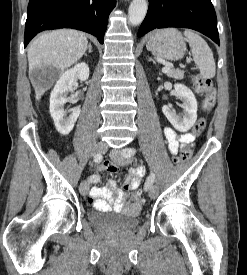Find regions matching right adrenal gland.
<instances>
[{
  "instance_id": "2a0ac1e0",
  "label": "right adrenal gland",
  "mask_w": 247,
  "mask_h": 275,
  "mask_svg": "<svg viewBox=\"0 0 247 275\" xmlns=\"http://www.w3.org/2000/svg\"><path fill=\"white\" fill-rule=\"evenodd\" d=\"M88 52L89 53H92V45H91V43L89 44V46H88ZM87 54H85V56H86Z\"/></svg>"
}]
</instances>
